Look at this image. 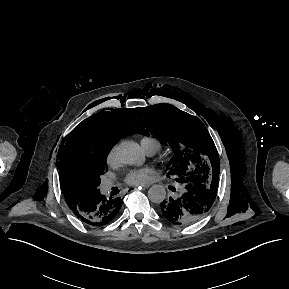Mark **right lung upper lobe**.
<instances>
[{
	"label": "right lung upper lobe",
	"instance_id": "obj_1",
	"mask_svg": "<svg viewBox=\"0 0 289 289\" xmlns=\"http://www.w3.org/2000/svg\"><path fill=\"white\" fill-rule=\"evenodd\" d=\"M134 109H116L97 113L79 123L62 145L57 168L61 188L69 206L83 201L89 192L79 183L81 170L97 154L110 150L120 138L135 132Z\"/></svg>",
	"mask_w": 289,
	"mask_h": 289
}]
</instances>
